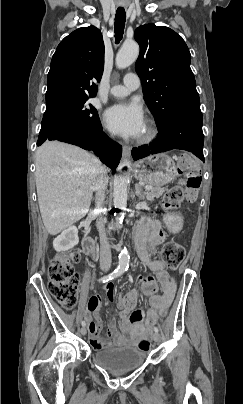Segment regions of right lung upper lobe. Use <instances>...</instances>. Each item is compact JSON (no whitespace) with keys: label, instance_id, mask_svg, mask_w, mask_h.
I'll list each match as a JSON object with an SVG mask.
<instances>
[{"label":"right lung upper lobe","instance_id":"cb5924a9","mask_svg":"<svg viewBox=\"0 0 243 404\" xmlns=\"http://www.w3.org/2000/svg\"><path fill=\"white\" fill-rule=\"evenodd\" d=\"M104 69L102 34L82 27L58 45L47 78L46 104L70 98L94 97Z\"/></svg>","mask_w":243,"mask_h":404}]
</instances>
